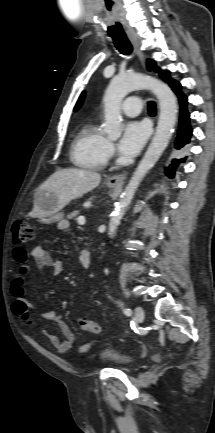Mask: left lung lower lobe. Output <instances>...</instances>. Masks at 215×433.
<instances>
[{
  "mask_svg": "<svg viewBox=\"0 0 215 433\" xmlns=\"http://www.w3.org/2000/svg\"><path fill=\"white\" fill-rule=\"evenodd\" d=\"M173 91L178 95L181 105V115L179 121V131L175 140V148L181 149L183 146L189 143L190 136L192 135V128L189 124V113L187 112L186 104L187 97L181 92V84L175 80L169 82ZM185 158L174 159L172 164L165 169L166 175L170 178L174 177V172L179 163H183Z\"/></svg>",
  "mask_w": 215,
  "mask_h": 433,
  "instance_id": "obj_1",
  "label": "left lung lower lobe"
}]
</instances>
